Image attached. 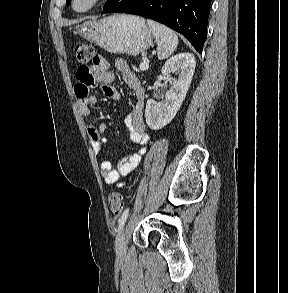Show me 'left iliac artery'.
<instances>
[{
    "mask_svg": "<svg viewBox=\"0 0 288 293\" xmlns=\"http://www.w3.org/2000/svg\"><path fill=\"white\" fill-rule=\"evenodd\" d=\"M129 213V208H127L123 214L121 215V217L118 220V229L121 230V228L123 227L124 223L126 222L127 216Z\"/></svg>",
    "mask_w": 288,
    "mask_h": 293,
    "instance_id": "44dca946",
    "label": "left iliac artery"
}]
</instances>
